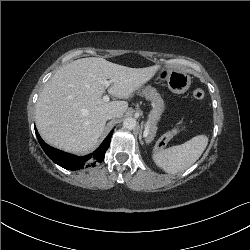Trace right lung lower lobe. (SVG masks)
I'll use <instances>...</instances> for the list:
<instances>
[{"instance_id": "right-lung-lower-lobe-1", "label": "right lung lower lobe", "mask_w": 250, "mask_h": 250, "mask_svg": "<svg viewBox=\"0 0 250 250\" xmlns=\"http://www.w3.org/2000/svg\"><path fill=\"white\" fill-rule=\"evenodd\" d=\"M114 130H112L109 135L106 137V139L102 142L100 147L94 151L93 153L78 157L63 151H60L58 149H55L49 145H47L38 134L37 129L35 128V133L38 138V141L44 150V152L47 154V156L56 164L59 166L69 169V170H78L84 168V165L86 164V167L89 166H95L97 163H100L104 160L105 152L107 151L109 145H110V139L113 134Z\"/></svg>"}]
</instances>
